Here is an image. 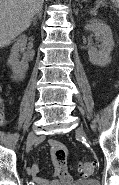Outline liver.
Instances as JSON below:
<instances>
[{
  "mask_svg": "<svg viewBox=\"0 0 119 185\" xmlns=\"http://www.w3.org/2000/svg\"><path fill=\"white\" fill-rule=\"evenodd\" d=\"M44 0H0V48L27 30Z\"/></svg>",
  "mask_w": 119,
  "mask_h": 185,
  "instance_id": "obj_1",
  "label": "liver"
}]
</instances>
